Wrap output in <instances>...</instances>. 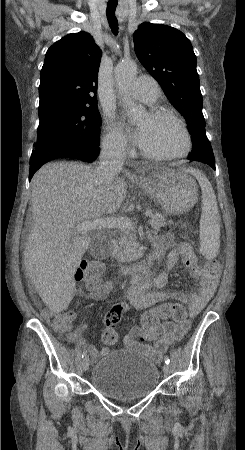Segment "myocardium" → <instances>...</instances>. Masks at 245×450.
<instances>
[{
	"mask_svg": "<svg viewBox=\"0 0 245 450\" xmlns=\"http://www.w3.org/2000/svg\"><path fill=\"white\" fill-rule=\"evenodd\" d=\"M149 117L154 120L167 118V119H170L173 122H175L184 133V136L186 139V146H185V149L181 153L174 154V155H158V154L150 153L141 146L140 152L144 157H147L152 160L159 161V162H169V161L185 158L186 156H188L190 154V152L192 151V148H193V140H192L191 134H190L186 124L183 122V120L177 114H175L173 111H171L169 109H159V110H152L149 114Z\"/></svg>",
	"mask_w": 245,
	"mask_h": 450,
	"instance_id": "myocardium-1",
	"label": "myocardium"
}]
</instances>
